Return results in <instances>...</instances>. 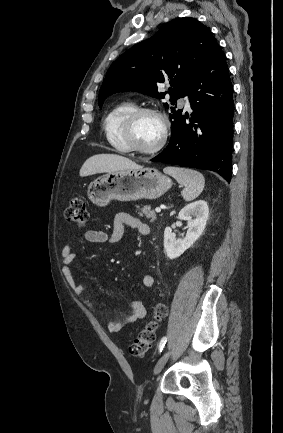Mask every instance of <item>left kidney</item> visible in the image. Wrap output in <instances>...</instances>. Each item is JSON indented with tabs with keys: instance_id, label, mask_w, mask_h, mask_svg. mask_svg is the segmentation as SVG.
<instances>
[{
	"instance_id": "left-kidney-1",
	"label": "left kidney",
	"mask_w": 283,
	"mask_h": 433,
	"mask_svg": "<svg viewBox=\"0 0 283 433\" xmlns=\"http://www.w3.org/2000/svg\"><path fill=\"white\" fill-rule=\"evenodd\" d=\"M209 208L204 200L186 205L178 214V218L187 221V233L184 239H176L170 227L164 231V249L169 259L181 256L202 235L208 220Z\"/></svg>"
}]
</instances>
